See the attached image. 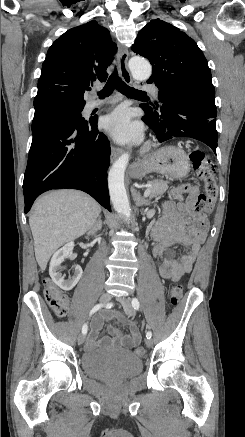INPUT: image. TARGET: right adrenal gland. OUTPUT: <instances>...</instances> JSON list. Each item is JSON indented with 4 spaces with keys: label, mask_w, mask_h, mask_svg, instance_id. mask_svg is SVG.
Listing matches in <instances>:
<instances>
[{
    "label": "right adrenal gland",
    "mask_w": 245,
    "mask_h": 437,
    "mask_svg": "<svg viewBox=\"0 0 245 437\" xmlns=\"http://www.w3.org/2000/svg\"><path fill=\"white\" fill-rule=\"evenodd\" d=\"M101 228H102V220H101V216H99L95 226L88 232V234H94L95 232L100 231Z\"/></svg>",
    "instance_id": "2a0ac1e0"
}]
</instances>
